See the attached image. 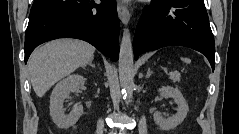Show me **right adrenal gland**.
Instances as JSON below:
<instances>
[{
	"instance_id": "obj_1",
	"label": "right adrenal gland",
	"mask_w": 239,
	"mask_h": 134,
	"mask_svg": "<svg viewBox=\"0 0 239 134\" xmlns=\"http://www.w3.org/2000/svg\"><path fill=\"white\" fill-rule=\"evenodd\" d=\"M89 65L95 68V64H93L92 61L89 63Z\"/></svg>"
}]
</instances>
